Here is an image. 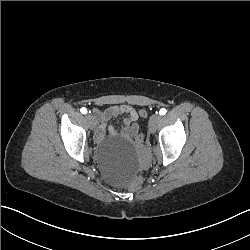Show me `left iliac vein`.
<instances>
[{"label":"left iliac vein","instance_id":"left-iliac-vein-1","mask_svg":"<svg viewBox=\"0 0 250 250\" xmlns=\"http://www.w3.org/2000/svg\"><path fill=\"white\" fill-rule=\"evenodd\" d=\"M162 117L158 114H153L151 117H150V120H149V130L150 132H154L157 128V125L160 123Z\"/></svg>","mask_w":250,"mask_h":250}]
</instances>
